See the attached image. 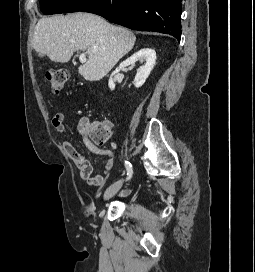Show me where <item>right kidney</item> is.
Segmentation results:
<instances>
[{"label": "right kidney", "mask_w": 255, "mask_h": 272, "mask_svg": "<svg viewBox=\"0 0 255 272\" xmlns=\"http://www.w3.org/2000/svg\"><path fill=\"white\" fill-rule=\"evenodd\" d=\"M137 61H140L141 63H145L143 66L140 67V69L137 71V74L134 79V85L136 88L141 87L148 76L150 75V72L152 71L155 61H156V52L155 50L151 48H143L133 55H131L129 58H127L125 61H123L118 68L111 74V77L109 79L108 86L111 90L115 89V83L113 81V76L120 72L121 69L129 66L134 65Z\"/></svg>", "instance_id": "right-kidney-1"}]
</instances>
